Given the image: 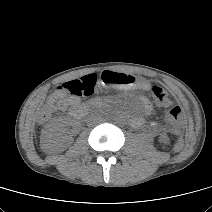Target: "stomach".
Listing matches in <instances>:
<instances>
[{"mask_svg":"<svg viewBox=\"0 0 212 212\" xmlns=\"http://www.w3.org/2000/svg\"><path fill=\"white\" fill-rule=\"evenodd\" d=\"M98 80L101 84L108 87H116L119 89H131L135 86L137 79L131 74L114 73L110 69L101 71L98 75Z\"/></svg>","mask_w":212,"mask_h":212,"instance_id":"0dacf381","label":"stomach"}]
</instances>
